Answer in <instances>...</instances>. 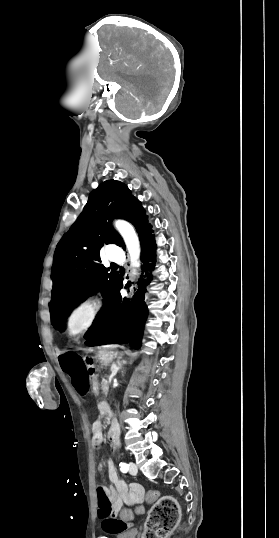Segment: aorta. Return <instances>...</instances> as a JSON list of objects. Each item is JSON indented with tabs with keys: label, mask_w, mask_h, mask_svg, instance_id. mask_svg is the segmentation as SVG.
<instances>
[{
	"label": "aorta",
	"mask_w": 279,
	"mask_h": 538,
	"mask_svg": "<svg viewBox=\"0 0 279 538\" xmlns=\"http://www.w3.org/2000/svg\"><path fill=\"white\" fill-rule=\"evenodd\" d=\"M115 227L125 241L127 250L130 254L132 266L138 267L139 266L138 259L140 256V245H139L138 236L134 228L128 222L123 221V220H117L115 222Z\"/></svg>",
	"instance_id": "762f6f07"
}]
</instances>
